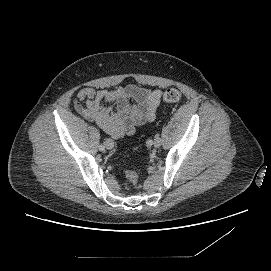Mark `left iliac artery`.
Segmentation results:
<instances>
[{
  "instance_id": "1",
  "label": "left iliac artery",
  "mask_w": 271,
  "mask_h": 271,
  "mask_svg": "<svg viewBox=\"0 0 271 271\" xmlns=\"http://www.w3.org/2000/svg\"><path fill=\"white\" fill-rule=\"evenodd\" d=\"M147 146H151L153 144V141L151 139L147 140L146 142Z\"/></svg>"
}]
</instances>
